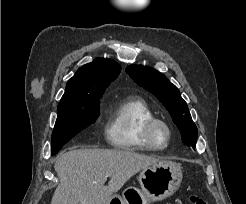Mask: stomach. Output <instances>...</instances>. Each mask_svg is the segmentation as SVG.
<instances>
[{
    "label": "stomach",
    "mask_w": 246,
    "mask_h": 204,
    "mask_svg": "<svg viewBox=\"0 0 246 204\" xmlns=\"http://www.w3.org/2000/svg\"><path fill=\"white\" fill-rule=\"evenodd\" d=\"M182 177L180 164L160 161L140 172L138 180L141 190L128 187L122 195H112L106 204H147L149 201H161L177 191Z\"/></svg>",
    "instance_id": "stomach-1"
}]
</instances>
